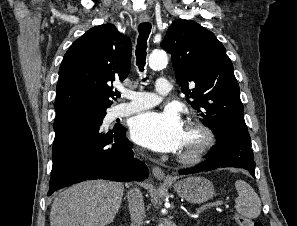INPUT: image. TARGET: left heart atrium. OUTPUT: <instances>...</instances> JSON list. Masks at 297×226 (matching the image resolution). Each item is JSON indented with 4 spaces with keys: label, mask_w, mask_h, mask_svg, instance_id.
Masks as SVG:
<instances>
[{
    "label": "left heart atrium",
    "mask_w": 297,
    "mask_h": 226,
    "mask_svg": "<svg viewBox=\"0 0 297 226\" xmlns=\"http://www.w3.org/2000/svg\"><path fill=\"white\" fill-rule=\"evenodd\" d=\"M131 138L138 144L156 152H175L184 144L185 127L174 111H148L133 118Z\"/></svg>",
    "instance_id": "obj_1"
}]
</instances>
